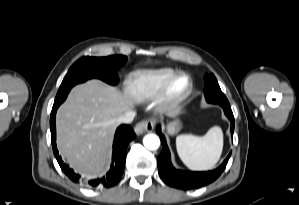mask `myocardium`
I'll return each mask as SVG.
<instances>
[{
	"mask_svg": "<svg viewBox=\"0 0 299 205\" xmlns=\"http://www.w3.org/2000/svg\"><path fill=\"white\" fill-rule=\"evenodd\" d=\"M193 82L185 73L174 74L160 89L157 103L161 108H172L181 104L192 92Z\"/></svg>",
	"mask_w": 299,
	"mask_h": 205,
	"instance_id": "1",
	"label": "myocardium"
}]
</instances>
